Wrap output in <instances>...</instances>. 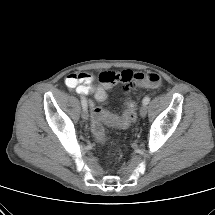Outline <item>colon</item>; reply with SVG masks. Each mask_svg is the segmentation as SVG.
Here are the masks:
<instances>
[{
	"label": "colon",
	"instance_id": "colon-1",
	"mask_svg": "<svg viewBox=\"0 0 215 215\" xmlns=\"http://www.w3.org/2000/svg\"><path fill=\"white\" fill-rule=\"evenodd\" d=\"M132 83L139 85V86H146V87H157L161 83V78L157 73H135L132 75ZM137 118V105L134 101L128 100L126 102V109L121 117L114 118L108 113L100 109H96L92 113V124L91 130L94 137L99 142H104L106 140L104 126L103 123L109 122L112 125L118 128H126L132 122H134Z\"/></svg>",
	"mask_w": 215,
	"mask_h": 215
}]
</instances>
